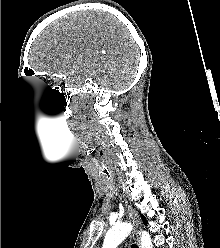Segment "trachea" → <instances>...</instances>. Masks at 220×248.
Returning a JSON list of instances; mask_svg holds the SVG:
<instances>
[{"label":"trachea","instance_id":"1","mask_svg":"<svg viewBox=\"0 0 220 248\" xmlns=\"http://www.w3.org/2000/svg\"><path fill=\"white\" fill-rule=\"evenodd\" d=\"M131 248H138L136 244H132Z\"/></svg>","mask_w":220,"mask_h":248}]
</instances>
